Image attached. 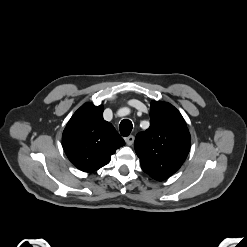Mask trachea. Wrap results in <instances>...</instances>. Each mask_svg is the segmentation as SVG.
Segmentation results:
<instances>
[{
    "instance_id": "trachea-1",
    "label": "trachea",
    "mask_w": 247,
    "mask_h": 247,
    "mask_svg": "<svg viewBox=\"0 0 247 247\" xmlns=\"http://www.w3.org/2000/svg\"><path fill=\"white\" fill-rule=\"evenodd\" d=\"M132 128H133V124L128 119L122 120L120 125H119L120 133L124 137L128 136L131 133Z\"/></svg>"
}]
</instances>
